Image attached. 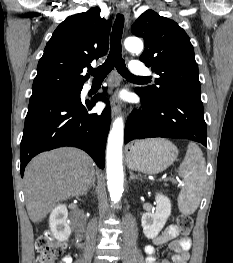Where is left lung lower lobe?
<instances>
[{
	"mask_svg": "<svg viewBox=\"0 0 233 263\" xmlns=\"http://www.w3.org/2000/svg\"><path fill=\"white\" fill-rule=\"evenodd\" d=\"M142 107L134 110L126 123L125 143L144 138H181L206 142V123L200 95L174 93L151 102L140 90Z\"/></svg>",
	"mask_w": 233,
	"mask_h": 263,
	"instance_id": "obj_1",
	"label": "left lung lower lobe"
}]
</instances>
